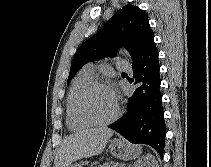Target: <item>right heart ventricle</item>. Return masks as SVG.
I'll return each instance as SVG.
<instances>
[{
  "label": "right heart ventricle",
  "mask_w": 211,
  "mask_h": 167,
  "mask_svg": "<svg viewBox=\"0 0 211 167\" xmlns=\"http://www.w3.org/2000/svg\"><path fill=\"white\" fill-rule=\"evenodd\" d=\"M93 80V74L82 69L74 78L66 98V121L72 131H81L91 125L85 122L77 113L76 103L82 89Z\"/></svg>",
  "instance_id": "1"
}]
</instances>
